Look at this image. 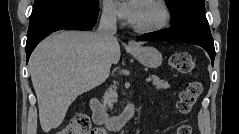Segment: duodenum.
Here are the masks:
<instances>
[{
  "label": "duodenum",
  "mask_w": 239,
  "mask_h": 134,
  "mask_svg": "<svg viewBox=\"0 0 239 134\" xmlns=\"http://www.w3.org/2000/svg\"><path fill=\"white\" fill-rule=\"evenodd\" d=\"M93 121L110 131H118L127 125L135 115V104L130 103L119 115L109 116L103 106L95 99L89 101Z\"/></svg>",
  "instance_id": "duodenum-1"
}]
</instances>
